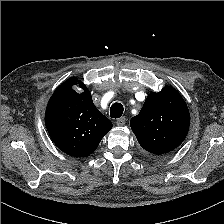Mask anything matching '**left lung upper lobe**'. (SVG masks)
I'll return each instance as SVG.
<instances>
[{"label":"left lung upper lobe","instance_id":"obj_1","mask_svg":"<svg viewBox=\"0 0 224 224\" xmlns=\"http://www.w3.org/2000/svg\"><path fill=\"white\" fill-rule=\"evenodd\" d=\"M190 125L188 107L171 86L148 95L140 113L130 120L139 144L153 154H165L186 138Z\"/></svg>","mask_w":224,"mask_h":224}]
</instances>
